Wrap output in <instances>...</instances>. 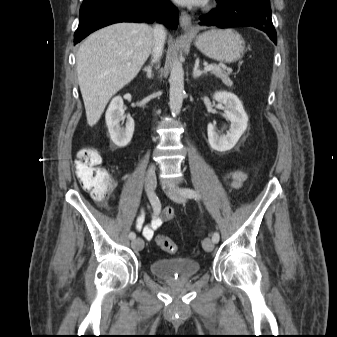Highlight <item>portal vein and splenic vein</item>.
Masks as SVG:
<instances>
[{
  "label": "portal vein and splenic vein",
  "instance_id": "18ae733b",
  "mask_svg": "<svg viewBox=\"0 0 337 337\" xmlns=\"http://www.w3.org/2000/svg\"><path fill=\"white\" fill-rule=\"evenodd\" d=\"M204 70H205V71L221 70V68L215 67V66H213V65H208V66H205ZM228 71L231 72L232 70L229 69Z\"/></svg>",
  "mask_w": 337,
  "mask_h": 337
}]
</instances>
